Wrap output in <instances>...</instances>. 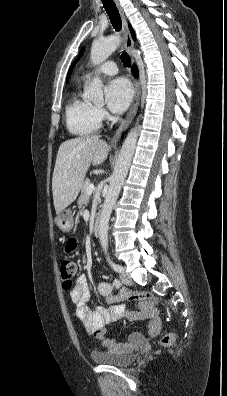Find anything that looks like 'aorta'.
<instances>
[{
	"instance_id": "762f6f07",
	"label": "aorta",
	"mask_w": 227,
	"mask_h": 396,
	"mask_svg": "<svg viewBox=\"0 0 227 396\" xmlns=\"http://www.w3.org/2000/svg\"><path fill=\"white\" fill-rule=\"evenodd\" d=\"M120 42L121 38L117 35H110L101 40L94 41L91 48V61L94 64L102 63L117 49ZM102 87L103 84L100 78L94 77L89 87H87L84 91L85 99L94 103L102 102ZM137 139L138 128L134 127L130 130L123 142L120 154L114 168V172L110 178L109 188L104 200L99 224V240L104 250H107L108 248V229L110 215L120 193L123 182L127 176L135 152Z\"/></svg>"
}]
</instances>
